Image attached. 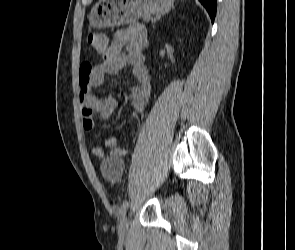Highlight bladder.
<instances>
[{"label": "bladder", "instance_id": "31cf9c89", "mask_svg": "<svg viewBox=\"0 0 295 250\" xmlns=\"http://www.w3.org/2000/svg\"><path fill=\"white\" fill-rule=\"evenodd\" d=\"M100 169L102 175L109 181H115L119 179L122 172V162L117 158H105Z\"/></svg>", "mask_w": 295, "mask_h": 250}]
</instances>
